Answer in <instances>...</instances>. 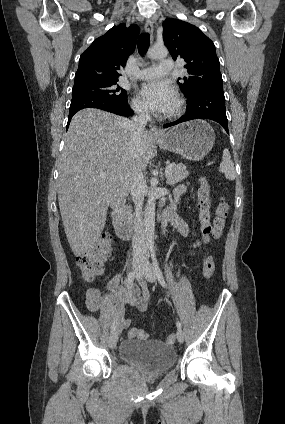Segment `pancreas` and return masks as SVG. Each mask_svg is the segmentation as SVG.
<instances>
[{"label":"pancreas","mask_w":285,"mask_h":424,"mask_svg":"<svg viewBox=\"0 0 285 424\" xmlns=\"http://www.w3.org/2000/svg\"><path fill=\"white\" fill-rule=\"evenodd\" d=\"M172 165H173L172 170L167 175V183L169 185H175L189 175V172L186 170L185 165L181 163L179 164L172 163ZM126 210H127V213H130V207H127Z\"/></svg>","instance_id":"pancreas-1"}]
</instances>
